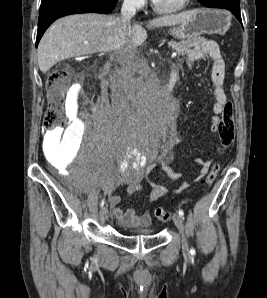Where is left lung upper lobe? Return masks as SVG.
Listing matches in <instances>:
<instances>
[{
  "instance_id": "5c2ea615",
  "label": "left lung upper lobe",
  "mask_w": 267,
  "mask_h": 298,
  "mask_svg": "<svg viewBox=\"0 0 267 298\" xmlns=\"http://www.w3.org/2000/svg\"><path fill=\"white\" fill-rule=\"evenodd\" d=\"M216 0H199V2L206 6V7H211L212 6V3L215 2ZM230 1H233L235 2L236 4L238 3L239 4V0H230Z\"/></svg>"
}]
</instances>
